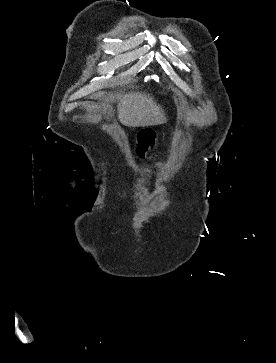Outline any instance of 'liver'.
<instances>
[{
  "label": "liver",
  "mask_w": 276,
  "mask_h": 363,
  "mask_svg": "<svg viewBox=\"0 0 276 363\" xmlns=\"http://www.w3.org/2000/svg\"><path fill=\"white\" fill-rule=\"evenodd\" d=\"M118 119L128 127L160 125L167 121L162 108L150 95L131 91L118 96Z\"/></svg>",
  "instance_id": "1"
}]
</instances>
